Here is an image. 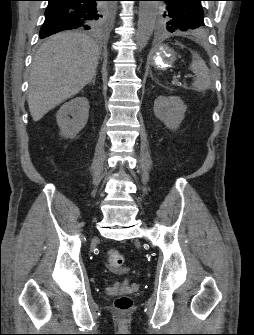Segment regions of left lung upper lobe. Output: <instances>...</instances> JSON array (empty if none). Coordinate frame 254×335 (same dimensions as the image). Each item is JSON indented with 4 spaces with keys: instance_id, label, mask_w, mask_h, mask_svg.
Listing matches in <instances>:
<instances>
[{
    "instance_id": "left-lung-upper-lobe-1",
    "label": "left lung upper lobe",
    "mask_w": 254,
    "mask_h": 335,
    "mask_svg": "<svg viewBox=\"0 0 254 335\" xmlns=\"http://www.w3.org/2000/svg\"><path fill=\"white\" fill-rule=\"evenodd\" d=\"M166 2V10L162 12L165 28L169 32L178 30H202L204 28L203 0H161Z\"/></svg>"
}]
</instances>
